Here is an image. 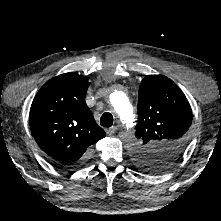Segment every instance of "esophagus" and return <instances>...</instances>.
I'll return each mask as SVG.
<instances>
[{"label": "esophagus", "mask_w": 221, "mask_h": 221, "mask_svg": "<svg viewBox=\"0 0 221 221\" xmlns=\"http://www.w3.org/2000/svg\"><path fill=\"white\" fill-rule=\"evenodd\" d=\"M116 130H117V127H116V126H113V127L109 128V129H107V130H106V133H107L109 136H112V135L115 134Z\"/></svg>", "instance_id": "esophagus-1"}]
</instances>
